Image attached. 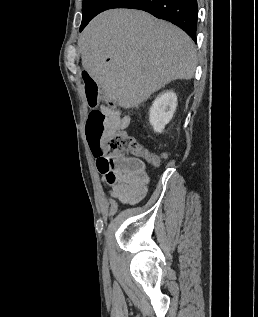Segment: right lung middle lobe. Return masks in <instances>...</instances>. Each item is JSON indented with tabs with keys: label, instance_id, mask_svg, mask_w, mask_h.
<instances>
[{
	"label": "right lung middle lobe",
	"instance_id": "obj_1",
	"mask_svg": "<svg viewBox=\"0 0 258 317\" xmlns=\"http://www.w3.org/2000/svg\"><path fill=\"white\" fill-rule=\"evenodd\" d=\"M89 0H83L82 5L84 6Z\"/></svg>",
	"mask_w": 258,
	"mask_h": 317
}]
</instances>
